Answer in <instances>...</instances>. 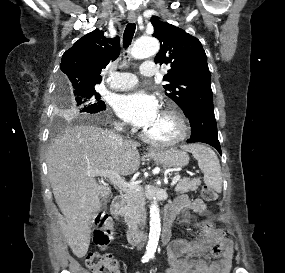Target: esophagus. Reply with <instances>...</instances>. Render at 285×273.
<instances>
[{
    "mask_svg": "<svg viewBox=\"0 0 285 273\" xmlns=\"http://www.w3.org/2000/svg\"><path fill=\"white\" fill-rule=\"evenodd\" d=\"M128 20L131 23H135L136 22V14L134 12H129L128 13ZM148 151L150 153H155V150H153L152 148H149Z\"/></svg>",
    "mask_w": 285,
    "mask_h": 273,
    "instance_id": "esophagus-1",
    "label": "esophagus"
}]
</instances>
